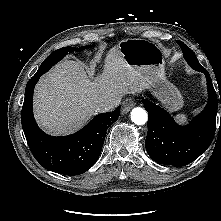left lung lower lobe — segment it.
<instances>
[{
    "label": "left lung lower lobe",
    "mask_w": 221,
    "mask_h": 221,
    "mask_svg": "<svg viewBox=\"0 0 221 221\" xmlns=\"http://www.w3.org/2000/svg\"><path fill=\"white\" fill-rule=\"evenodd\" d=\"M194 69L206 76L209 100L205 109L188 125H178L164 109L142 99L148 112L146 150L159 164L175 167L187 165L204 153L213 140L216 130L217 94L207 70L203 66ZM219 95L221 103L220 91Z\"/></svg>",
    "instance_id": "1"
}]
</instances>
